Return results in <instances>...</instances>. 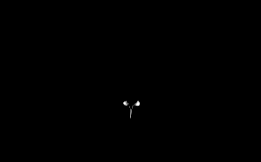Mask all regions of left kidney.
Masks as SVG:
<instances>
[{"label": "left kidney", "instance_id": "left-kidney-1", "mask_svg": "<svg viewBox=\"0 0 261 162\" xmlns=\"http://www.w3.org/2000/svg\"><path fill=\"white\" fill-rule=\"evenodd\" d=\"M174 83L180 89H183V92L178 98L168 96L166 100L170 105L177 108H184L190 106L198 98L197 90L189 82L176 80Z\"/></svg>", "mask_w": 261, "mask_h": 162}]
</instances>
